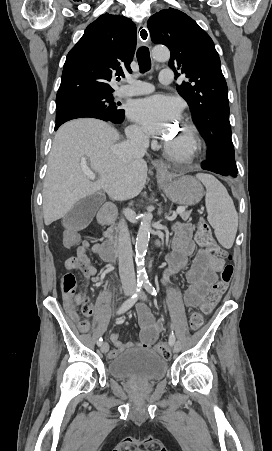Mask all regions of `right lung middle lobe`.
Segmentation results:
<instances>
[{
	"instance_id": "obj_1",
	"label": "right lung middle lobe",
	"mask_w": 272,
	"mask_h": 451,
	"mask_svg": "<svg viewBox=\"0 0 272 451\" xmlns=\"http://www.w3.org/2000/svg\"><path fill=\"white\" fill-rule=\"evenodd\" d=\"M113 99L112 94L56 99V122L77 114L96 115L111 121L122 120L125 111Z\"/></svg>"
}]
</instances>
